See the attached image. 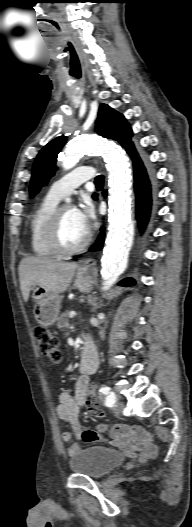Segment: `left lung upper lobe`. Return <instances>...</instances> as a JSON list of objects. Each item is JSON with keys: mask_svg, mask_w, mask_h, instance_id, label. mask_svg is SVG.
Here are the masks:
<instances>
[{"mask_svg": "<svg viewBox=\"0 0 192 527\" xmlns=\"http://www.w3.org/2000/svg\"><path fill=\"white\" fill-rule=\"evenodd\" d=\"M95 129L101 136L118 141L127 151L133 147V143L131 142L132 130L125 121L124 116L106 104H101L99 107ZM65 142L66 137L60 136L49 142L39 152L32 171L30 184L31 197L37 194L40 188L46 185L48 179L54 176L57 154Z\"/></svg>", "mask_w": 192, "mask_h": 527, "instance_id": "1", "label": "left lung upper lobe"}]
</instances>
